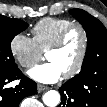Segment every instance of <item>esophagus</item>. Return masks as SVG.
Listing matches in <instances>:
<instances>
[{"label":"esophagus","mask_w":107,"mask_h":107,"mask_svg":"<svg viewBox=\"0 0 107 107\" xmlns=\"http://www.w3.org/2000/svg\"><path fill=\"white\" fill-rule=\"evenodd\" d=\"M49 87L45 86V85H42V84H38L37 86V91L38 92H42L44 90H47Z\"/></svg>","instance_id":"34e87169"}]
</instances>
